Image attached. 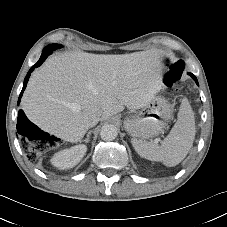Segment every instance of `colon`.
Wrapping results in <instances>:
<instances>
[{
    "mask_svg": "<svg viewBox=\"0 0 227 227\" xmlns=\"http://www.w3.org/2000/svg\"><path fill=\"white\" fill-rule=\"evenodd\" d=\"M161 64L166 85L177 88L184 73V63L166 57L162 59ZM32 140L34 144L26 145L27 155L30 159L35 158L38 152L46 151L53 146L52 138L47 133L37 132Z\"/></svg>",
    "mask_w": 227,
    "mask_h": 227,
    "instance_id": "colon-1",
    "label": "colon"
}]
</instances>
